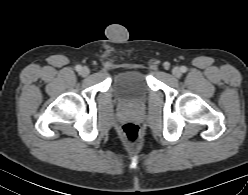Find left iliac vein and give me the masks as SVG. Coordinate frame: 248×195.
Instances as JSON below:
<instances>
[{"instance_id":"obj_1","label":"left iliac vein","mask_w":248,"mask_h":195,"mask_svg":"<svg viewBox=\"0 0 248 195\" xmlns=\"http://www.w3.org/2000/svg\"><path fill=\"white\" fill-rule=\"evenodd\" d=\"M172 74L174 77L179 78L182 75L181 69L179 67H174Z\"/></svg>"}]
</instances>
